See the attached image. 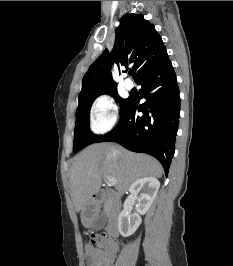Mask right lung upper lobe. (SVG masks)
<instances>
[{"instance_id": "right-lung-upper-lobe-1", "label": "right lung upper lobe", "mask_w": 233, "mask_h": 266, "mask_svg": "<svg viewBox=\"0 0 233 266\" xmlns=\"http://www.w3.org/2000/svg\"><path fill=\"white\" fill-rule=\"evenodd\" d=\"M167 51L154 25L137 14H125L115 32L111 53L105 49L91 64L82 80L79 99L116 88L111 75V63L132 65L135 82L164 58Z\"/></svg>"}]
</instances>
